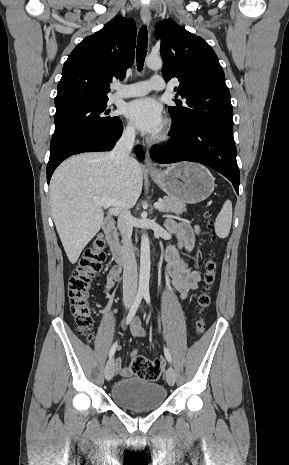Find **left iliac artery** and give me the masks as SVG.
<instances>
[{"label": "left iliac artery", "instance_id": "1", "mask_svg": "<svg viewBox=\"0 0 289 465\" xmlns=\"http://www.w3.org/2000/svg\"><path fill=\"white\" fill-rule=\"evenodd\" d=\"M144 299H145V301L147 302L148 305H151V299H150L149 291L144 292ZM164 355H165L166 359L168 360V362L171 363V355H170V352L168 351V349L166 347H164Z\"/></svg>", "mask_w": 289, "mask_h": 465}]
</instances>
